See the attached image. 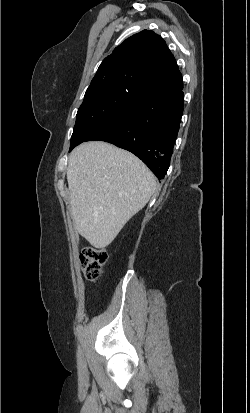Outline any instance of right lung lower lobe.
Wrapping results in <instances>:
<instances>
[{"label": "right lung lower lobe", "instance_id": "right-lung-lower-lobe-1", "mask_svg": "<svg viewBox=\"0 0 250 413\" xmlns=\"http://www.w3.org/2000/svg\"><path fill=\"white\" fill-rule=\"evenodd\" d=\"M182 89L183 84L141 94L86 141L101 140L126 149L139 157L159 180L163 179L183 113Z\"/></svg>", "mask_w": 250, "mask_h": 413}]
</instances>
